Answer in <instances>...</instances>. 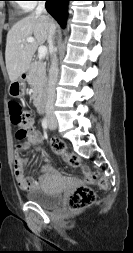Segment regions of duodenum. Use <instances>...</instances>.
I'll return each instance as SVG.
<instances>
[{
    "label": "duodenum",
    "instance_id": "obj_1",
    "mask_svg": "<svg viewBox=\"0 0 133 253\" xmlns=\"http://www.w3.org/2000/svg\"><path fill=\"white\" fill-rule=\"evenodd\" d=\"M20 78H29V73H20ZM43 89H44L43 85H38L37 88L35 89V92L37 93L36 106L40 113L44 111V102L41 99L43 97V94L41 93Z\"/></svg>",
    "mask_w": 133,
    "mask_h": 253
}]
</instances>
